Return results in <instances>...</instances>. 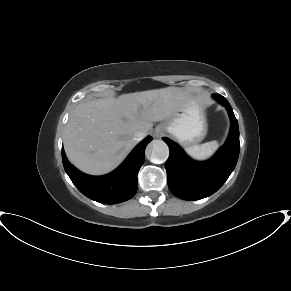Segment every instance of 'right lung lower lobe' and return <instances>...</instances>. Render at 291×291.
<instances>
[{"instance_id":"obj_1","label":"right lung lower lobe","mask_w":291,"mask_h":291,"mask_svg":"<svg viewBox=\"0 0 291 291\" xmlns=\"http://www.w3.org/2000/svg\"><path fill=\"white\" fill-rule=\"evenodd\" d=\"M152 140L147 136L113 172L104 176H90L77 170L66 158L62 160L66 173L78 190L88 198L103 204H117L131 199L138 188L137 174L144 163L145 148Z\"/></svg>"}]
</instances>
